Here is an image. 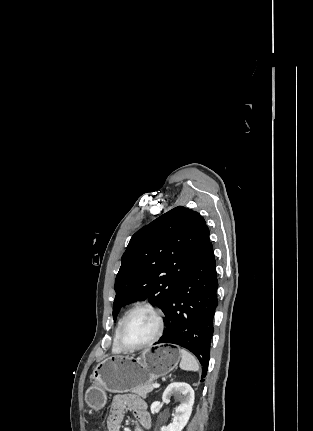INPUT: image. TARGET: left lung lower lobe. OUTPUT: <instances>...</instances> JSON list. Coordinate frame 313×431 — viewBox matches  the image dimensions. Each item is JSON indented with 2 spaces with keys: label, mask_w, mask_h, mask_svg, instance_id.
Here are the masks:
<instances>
[{
  "label": "left lung lower lobe",
  "mask_w": 313,
  "mask_h": 431,
  "mask_svg": "<svg viewBox=\"0 0 313 431\" xmlns=\"http://www.w3.org/2000/svg\"><path fill=\"white\" fill-rule=\"evenodd\" d=\"M218 280L212 243L208 242L195 265L164 310L166 328L158 343L177 344L190 350L207 374ZM203 381V380H201Z\"/></svg>",
  "instance_id": "obj_1"
}]
</instances>
